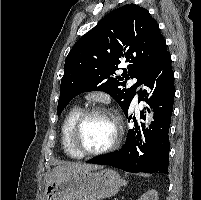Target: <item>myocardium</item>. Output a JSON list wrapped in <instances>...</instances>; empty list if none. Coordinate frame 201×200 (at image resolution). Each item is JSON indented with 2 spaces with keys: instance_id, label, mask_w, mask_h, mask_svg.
Wrapping results in <instances>:
<instances>
[{
  "instance_id": "1",
  "label": "myocardium",
  "mask_w": 201,
  "mask_h": 200,
  "mask_svg": "<svg viewBox=\"0 0 201 200\" xmlns=\"http://www.w3.org/2000/svg\"><path fill=\"white\" fill-rule=\"evenodd\" d=\"M93 115H104L111 118L115 125V134L113 140L104 148L95 151H87L80 147L78 135L84 121ZM120 140L121 127L118 118L109 109L102 106H92L82 110L74 121L69 133L70 145L79 157H93L109 153L118 147Z\"/></svg>"
}]
</instances>
